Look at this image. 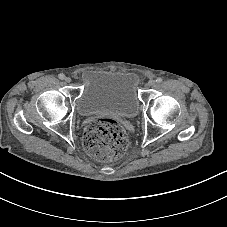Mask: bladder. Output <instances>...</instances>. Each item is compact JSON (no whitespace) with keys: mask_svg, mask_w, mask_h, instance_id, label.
Returning a JSON list of instances; mask_svg holds the SVG:
<instances>
[{"mask_svg":"<svg viewBox=\"0 0 227 227\" xmlns=\"http://www.w3.org/2000/svg\"><path fill=\"white\" fill-rule=\"evenodd\" d=\"M137 85L132 72L94 71L86 77L75 100L76 112L81 118L92 115L135 118L141 105Z\"/></svg>","mask_w":227,"mask_h":227,"instance_id":"31cf9c89","label":"bladder"}]
</instances>
